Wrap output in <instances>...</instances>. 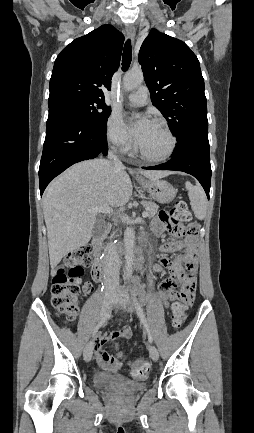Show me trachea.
<instances>
[{"label": "trachea", "mask_w": 254, "mask_h": 433, "mask_svg": "<svg viewBox=\"0 0 254 433\" xmlns=\"http://www.w3.org/2000/svg\"><path fill=\"white\" fill-rule=\"evenodd\" d=\"M132 60V48L130 40H127L124 45L123 55H122V70L126 71L131 64Z\"/></svg>", "instance_id": "trachea-1"}]
</instances>
